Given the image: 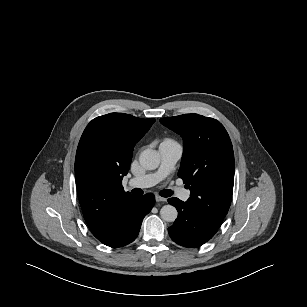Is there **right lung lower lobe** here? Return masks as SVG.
I'll return each instance as SVG.
<instances>
[{
	"mask_svg": "<svg viewBox=\"0 0 307 307\" xmlns=\"http://www.w3.org/2000/svg\"><path fill=\"white\" fill-rule=\"evenodd\" d=\"M154 203L155 197L151 193L139 196L138 202L130 213L127 223L120 235L116 239L104 244L116 248L125 246L134 241L138 236L143 218L151 211Z\"/></svg>",
	"mask_w": 307,
	"mask_h": 307,
	"instance_id": "1",
	"label": "right lung lower lobe"
}]
</instances>
